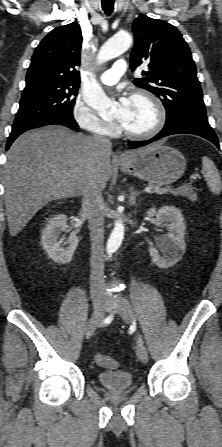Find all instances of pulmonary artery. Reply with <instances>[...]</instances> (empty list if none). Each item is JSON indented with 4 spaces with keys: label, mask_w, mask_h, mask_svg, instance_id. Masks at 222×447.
I'll list each match as a JSON object with an SVG mask.
<instances>
[{
    "label": "pulmonary artery",
    "mask_w": 222,
    "mask_h": 447,
    "mask_svg": "<svg viewBox=\"0 0 222 447\" xmlns=\"http://www.w3.org/2000/svg\"><path fill=\"white\" fill-rule=\"evenodd\" d=\"M126 68L127 65L124 60L115 62L111 70L102 73L100 77L101 82L105 85L116 84L119 81L120 77L126 72Z\"/></svg>",
    "instance_id": "1"
}]
</instances>
